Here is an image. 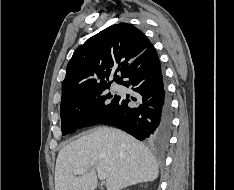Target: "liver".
<instances>
[{
  "label": "liver",
  "instance_id": "liver-1",
  "mask_svg": "<svg viewBox=\"0 0 234 190\" xmlns=\"http://www.w3.org/2000/svg\"><path fill=\"white\" fill-rule=\"evenodd\" d=\"M87 168L81 176L74 171ZM106 174L107 190L154 181L159 174L155 157L134 137L109 127H98L64 146L55 167V190H95V169Z\"/></svg>",
  "mask_w": 234,
  "mask_h": 190
}]
</instances>
